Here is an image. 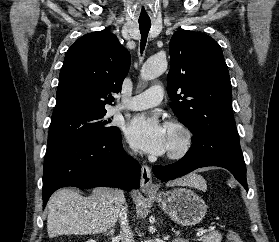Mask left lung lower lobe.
<instances>
[{
	"mask_svg": "<svg viewBox=\"0 0 279 242\" xmlns=\"http://www.w3.org/2000/svg\"><path fill=\"white\" fill-rule=\"evenodd\" d=\"M207 166H219L228 169L242 184L245 190L248 191L245 162H239L228 157L185 156L181 160L173 164H169L166 166H154L153 172L160 181L165 182L186 175L197 168Z\"/></svg>",
	"mask_w": 279,
	"mask_h": 242,
	"instance_id": "obj_1",
	"label": "left lung lower lobe"
}]
</instances>
